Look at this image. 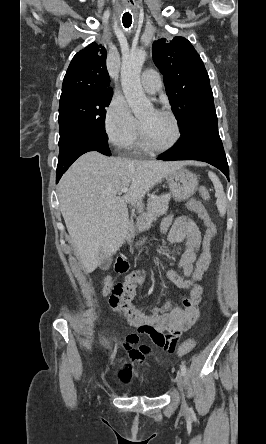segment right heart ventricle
I'll return each instance as SVG.
<instances>
[{
  "label": "right heart ventricle",
  "mask_w": 266,
  "mask_h": 444,
  "mask_svg": "<svg viewBox=\"0 0 266 444\" xmlns=\"http://www.w3.org/2000/svg\"><path fill=\"white\" fill-rule=\"evenodd\" d=\"M132 147L136 150V151H143L146 150L147 148L144 146L142 139L138 138L136 139V141L134 142V144L132 145Z\"/></svg>",
  "instance_id": "e07e8e85"
}]
</instances>
